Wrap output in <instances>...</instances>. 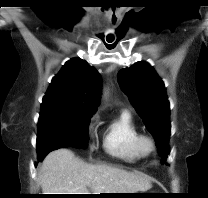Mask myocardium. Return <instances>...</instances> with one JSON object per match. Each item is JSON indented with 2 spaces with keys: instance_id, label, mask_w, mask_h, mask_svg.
<instances>
[{
  "instance_id": "myocardium-1",
  "label": "myocardium",
  "mask_w": 208,
  "mask_h": 198,
  "mask_svg": "<svg viewBox=\"0 0 208 198\" xmlns=\"http://www.w3.org/2000/svg\"><path fill=\"white\" fill-rule=\"evenodd\" d=\"M136 148L141 156L146 157L153 153L155 143L151 137L140 134L136 140Z\"/></svg>"
}]
</instances>
